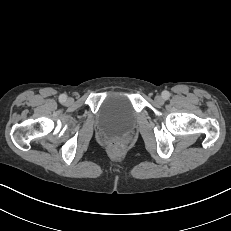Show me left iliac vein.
Segmentation results:
<instances>
[{
  "label": "left iliac vein",
  "instance_id": "1",
  "mask_svg": "<svg viewBox=\"0 0 231 231\" xmlns=\"http://www.w3.org/2000/svg\"><path fill=\"white\" fill-rule=\"evenodd\" d=\"M155 101L158 104H162L164 102V98L161 95H157V96H155Z\"/></svg>",
  "mask_w": 231,
  "mask_h": 231
}]
</instances>
